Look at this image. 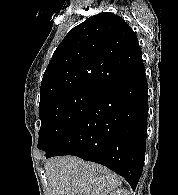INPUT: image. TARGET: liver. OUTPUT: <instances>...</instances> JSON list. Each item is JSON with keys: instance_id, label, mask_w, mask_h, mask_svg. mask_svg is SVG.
<instances>
[{"instance_id": "liver-1", "label": "liver", "mask_w": 178, "mask_h": 195, "mask_svg": "<svg viewBox=\"0 0 178 195\" xmlns=\"http://www.w3.org/2000/svg\"><path fill=\"white\" fill-rule=\"evenodd\" d=\"M45 171L50 195H108L122 183L104 166L74 156L47 160Z\"/></svg>"}]
</instances>
